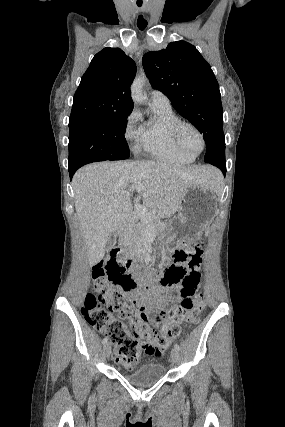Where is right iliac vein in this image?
Returning <instances> with one entry per match:
<instances>
[{"mask_svg": "<svg viewBox=\"0 0 285 427\" xmlns=\"http://www.w3.org/2000/svg\"><path fill=\"white\" fill-rule=\"evenodd\" d=\"M104 353H105V356H107V357L110 355V353H111V344L110 343H107L104 346Z\"/></svg>", "mask_w": 285, "mask_h": 427, "instance_id": "obj_1", "label": "right iliac vein"}]
</instances>
